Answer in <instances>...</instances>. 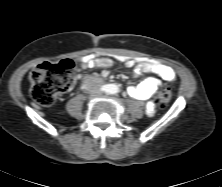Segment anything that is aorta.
<instances>
[{"mask_svg":"<svg viewBox=\"0 0 222 187\" xmlns=\"http://www.w3.org/2000/svg\"><path fill=\"white\" fill-rule=\"evenodd\" d=\"M117 87L116 86H114V88H113V92H117Z\"/></svg>","mask_w":222,"mask_h":187,"instance_id":"obj_1","label":"aorta"}]
</instances>
